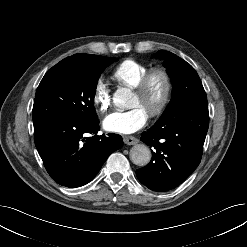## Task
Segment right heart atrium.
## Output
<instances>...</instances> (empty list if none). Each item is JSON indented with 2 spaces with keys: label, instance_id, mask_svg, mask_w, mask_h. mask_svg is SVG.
<instances>
[{
  "label": "right heart atrium",
  "instance_id": "obj_1",
  "mask_svg": "<svg viewBox=\"0 0 247 247\" xmlns=\"http://www.w3.org/2000/svg\"><path fill=\"white\" fill-rule=\"evenodd\" d=\"M111 90L107 84L99 79L93 90V103L95 107L102 113L106 112L111 106Z\"/></svg>",
  "mask_w": 247,
  "mask_h": 247
}]
</instances>
